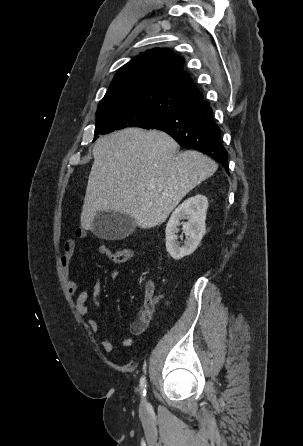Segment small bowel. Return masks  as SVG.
I'll use <instances>...</instances> for the list:
<instances>
[{"instance_id": "1", "label": "small bowel", "mask_w": 303, "mask_h": 446, "mask_svg": "<svg viewBox=\"0 0 303 446\" xmlns=\"http://www.w3.org/2000/svg\"><path fill=\"white\" fill-rule=\"evenodd\" d=\"M86 235L87 232L82 227L78 228L75 232V236L77 238H85ZM105 247L106 245L104 243H100L97 248L98 251L101 252ZM75 250H76L75 240L67 239L63 246V254L60 259V264L63 276L65 278L67 291L70 294L78 295L75 302V308L77 312L81 315L88 316L91 312L89 306L87 305L89 291L86 288L80 289L78 283L72 278H70V266ZM117 276H118L117 270H113L110 274L111 279H115ZM101 291H102L101 283L99 279H96L92 286V301L95 307L99 306ZM153 293H154V286L152 284H147L145 287L144 302L138 308L137 317L130 326V331L133 335H139L143 333L154 318L155 304L152 300ZM88 325L93 332L95 333L102 332V327L96 320L90 319L88 321ZM131 342H132L131 338L123 339L118 343L105 339L101 342V346L105 352L111 353L115 351L118 347L130 346Z\"/></svg>"}]
</instances>
